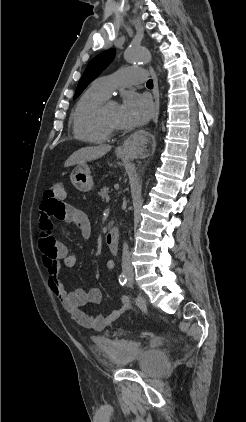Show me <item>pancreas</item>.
<instances>
[{
    "label": "pancreas",
    "mask_w": 246,
    "mask_h": 422,
    "mask_svg": "<svg viewBox=\"0 0 246 422\" xmlns=\"http://www.w3.org/2000/svg\"><path fill=\"white\" fill-rule=\"evenodd\" d=\"M108 193H109V189L107 187H104L100 190L98 195L101 199H105L108 196ZM109 227H111L110 224H109Z\"/></svg>",
    "instance_id": "cf45deb5"
}]
</instances>
